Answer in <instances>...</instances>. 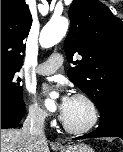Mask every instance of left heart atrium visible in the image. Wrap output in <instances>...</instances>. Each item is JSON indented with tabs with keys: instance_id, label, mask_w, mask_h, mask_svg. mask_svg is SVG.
Instances as JSON below:
<instances>
[{
	"instance_id": "1",
	"label": "left heart atrium",
	"mask_w": 123,
	"mask_h": 152,
	"mask_svg": "<svg viewBox=\"0 0 123 152\" xmlns=\"http://www.w3.org/2000/svg\"><path fill=\"white\" fill-rule=\"evenodd\" d=\"M51 90V88L47 85L43 86L44 93H48ZM60 96L57 104V111L59 114V117L64 120L68 111V108L70 106L72 98L62 89L59 88Z\"/></svg>"
}]
</instances>
